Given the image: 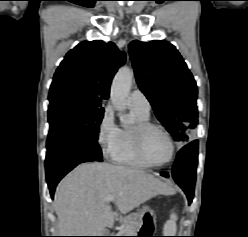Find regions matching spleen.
I'll return each mask as SVG.
<instances>
[{
	"label": "spleen",
	"mask_w": 248,
	"mask_h": 237,
	"mask_svg": "<svg viewBox=\"0 0 248 237\" xmlns=\"http://www.w3.org/2000/svg\"><path fill=\"white\" fill-rule=\"evenodd\" d=\"M177 215L173 212L170 215V219L164 225V234L167 236H175L177 231L176 226Z\"/></svg>",
	"instance_id": "1"
}]
</instances>
